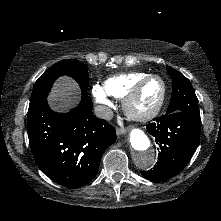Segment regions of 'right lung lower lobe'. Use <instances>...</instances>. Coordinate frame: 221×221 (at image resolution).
<instances>
[{"label": "right lung lower lobe", "instance_id": "1", "mask_svg": "<svg viewBox=\"0 0 221 221\" xmlns=\"http://www.w3.org/2000/svg\"><path fill=\"white\" fill-rule=\"evenodd\" d=\"M93 104L82 92L80 104L56 113L44 100L28 114L27 129L38 167L56 183L80 188L96 176L103 152L115 142V129L92 113Z\"/></svg>", "mask_w": 221, "mask_h": 221}]
</instances>
